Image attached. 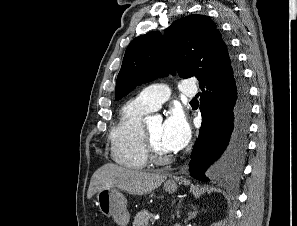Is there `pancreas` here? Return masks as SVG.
I'll use <instances>...</instances> for the list:
<instances>
[{"instance_id": "obj_1", "label": "pancreas", "mask_w": 297, "mask_h": 226, "mask_svg": "<svg viewBox=\"0 0 297 226\" xmlns=\"http://www.w3.org/2000/svg\"><path fill=\"white\" fill-rule=\"evenodd\" d=\"M153 215L147 210H141L134 217L132 226H148L149 221H153Z\"/></svg>"}]
</instances>
